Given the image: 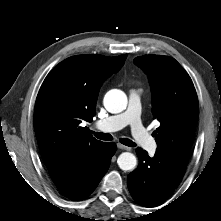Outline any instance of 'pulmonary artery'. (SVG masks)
I'll use <instances>...</instances> for the list:
<instances>
[{"instance_id":"1","label":"pulmonary artery","mask_w":221,"mask_h":221,"mask_svg":"<svg viewBox=\"0 0 221 221\" xmlns=\"http://www.w3.org/2000/svg\"><path fill=\"white\" fill-rule=\"evenodd\" d=\"M140 111V91L131 90L128 108L122 113L98 121L96 127L103 132H112L129 125L136 142L145 150L154 152L157 147L156 142L143 126Z\"/></svg>"}]
</instances>
